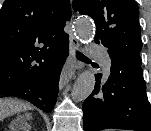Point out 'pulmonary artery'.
Wrapping results in <instances>:
<instances>
[{"label":"pulmonary artery","instance_id":"e3ab8cb5","mask_svg":"<svg viewBox=\"0 0 151 131\" xmlns=\"http://www.w3.org/2000/svg\"><path fill=\"white\" fill-rule=\"evenodd\" d=\"M89 50H90V53H92L94 56H96L100 60L105 72L109 73L110 67H111V61L108 55L105 53L104 49L101 46L92 44Z\"/></svg>","mask_w":151,"mask_h":131}]
</instances>
